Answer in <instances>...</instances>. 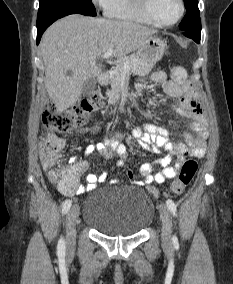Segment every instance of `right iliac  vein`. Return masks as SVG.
<instances>
[{"label":"right iliac vein","mask_w":233,"mask_h":284,"mask_svg":"<svg viewBox=\"0 0 233 284\" xmlns=\"http://www.w3.org/2000/svg\"><path fill=\"white\" fill-rule=\"evenodd\" d=\"M79 216V207L74 205L67 213L66 217V232H67V244L69 247H73L75 244L76 235V221Z\"/></svg>","instance_id":"obj_1"}]
</instances>
